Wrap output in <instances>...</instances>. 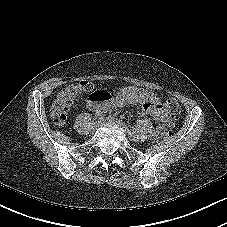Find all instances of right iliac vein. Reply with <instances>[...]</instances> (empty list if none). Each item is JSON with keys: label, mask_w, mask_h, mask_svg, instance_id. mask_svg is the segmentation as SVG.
<instances>
[{"label": "right iliac vein", "mask_w": 227, "mask_h": 227, "mask_svg": "<svg viewBox=\"0 0 227 227\" xmlns=\"http://www.w3.org/2000/svg\"><path fill=\"white\" fill-rule=\"evenodd\" d=\"M99 123H100V121L94 122V123L92 124V129H93V130H96L97 127L99 126Z\"/></svg>", "instance_id": "1"}]
</instances>
